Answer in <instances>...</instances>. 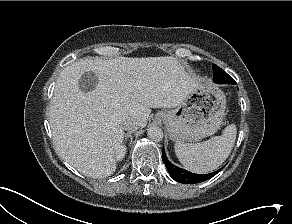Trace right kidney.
<instances>
[{
	"label": "right kidney",
	"instance_id": "right-kidney-1",
	"mask_svg": "<svg viewBox=\"0 0 292 224\" xmlns=\"http://www.w3.org/2000/svg\"><path fill=\"white\" fill-rule=\"evenodd\" d=\"M126 154V147L122 146L117 152H116V161H120L124 158Z\"/></svg>",
	"mask_w": 292,
	"mask_h": 224
}]
</instances>
